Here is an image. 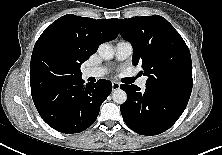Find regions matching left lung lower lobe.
I'll return each mask as SVG.
<instances>
[{"instance_id":"0a47b994","label":"left lung lower lobe","mask_w":222,"mask_h":155,"mask_svg":"<svg viewBox=\"0 0 222 155\" xmlns=\"http://www.w3.org/2000/svg\"><path fill=\"white\" fill-rule=\"evenodd\" d=\"M127 100L120 106L124 122L141 135H157L169 129L182 115L188 100L146 87L144 92L136 85L120 86Z\"/></svg>"}]
</instances>
